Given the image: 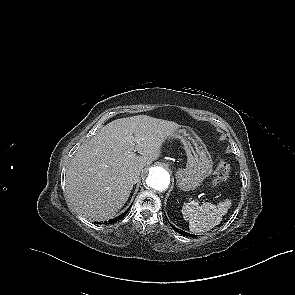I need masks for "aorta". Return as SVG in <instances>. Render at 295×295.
Segmentation results:
<instances>
[{"label":"aorta","mask_w":295,"mask_h":295,"mask_svg":"<svg viewBox=\"0 0 295 295\" xmlns=\"http://www.w3.org/2000/svg\"><path fill=\"white\" fill-rule=\"evenodd\" d=\"M170 174L164 167L153 166L149 168L146 177V186L153 191H163L168 188Z\"/></svg>","instance_id":"obj_1"}]
</instances>
